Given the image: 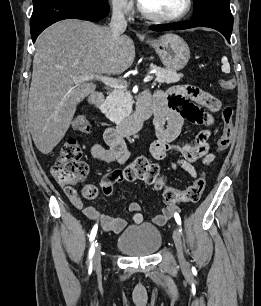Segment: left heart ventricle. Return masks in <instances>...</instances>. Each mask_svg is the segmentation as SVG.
I'll return each mask as SVG.
<instances>
[{
  "label": "left heart ventricle",
  "instance_id": "b2bd125f",
  "mask_svg": "<svg viewBox=\"0 0 261 306\" xmlns=\"http://www.w3.org/2000/svg\"><path fill=\"white\" fill-rule=\"evenodd\" d=\"M142 4L150 11L161 15H176L184 7L186 0H141Z\"/></svg>",
  "mask_w": 261,
  "mask_h": 306
}]
</instances>
